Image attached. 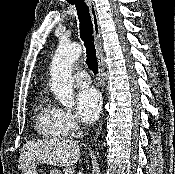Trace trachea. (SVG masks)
Listing matches in <instances>:
<instances>
[{
    "label": "trachea",
    "instance_id": "1",
    "mask_svg": "<svg viewBox=\"0 0 175 174\" xmlns=\"http://www.w3.org/2000/svg\"><path fill=\"white\" fill-rule=\"evenodd\" d=\"M75 4L80 22V37L84 42L87 55V64L96 75L98 73V63L94 43L92 42L93 23L89 13V7L84 0H72Z\"/></svg>",
    "mask_w": 175,
    "mask_h": 174
}]
</instances>
